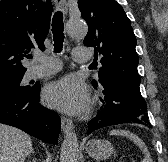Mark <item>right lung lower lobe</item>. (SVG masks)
Segmentation results:
<instances>
[{
    "label": "right lung lower lobe",
    "mask_w": 168,
    "mask_h": 162,
    "mask_svg": "<svg viewBox=\"0 0 168 162\" xmlns=\"http://www.w3.org/2000/svg\"><path fill=\"white\" fill-rule=\"evenodd\" d=\"M40 84L0 89V123L17 127L50 144L58 142L60 119L39 104Z\"/></svg>",
    "instance_id": "98d812e1"
}]
</instances>
